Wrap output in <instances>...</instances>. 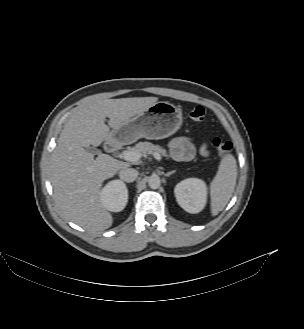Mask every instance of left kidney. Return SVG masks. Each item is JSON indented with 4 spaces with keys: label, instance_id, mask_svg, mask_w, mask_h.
<instances>
[{
    "label": "left kidney",
    "instance_id": "obj_1",
    "mask_svg": "<svg viewBox=\"0 0 304 329\" xmlns=\"http://www.w3.org/2000/svg\"><path fill=\"white\" fill-rule=\"evenodd\" d=\"M178 204L187 212L196 214L207 203V185L198 178H187L179 182L174 189Z\"/></svg>",
    "mask_w": 304,
    "mask_h": 329
}]
</instances>
